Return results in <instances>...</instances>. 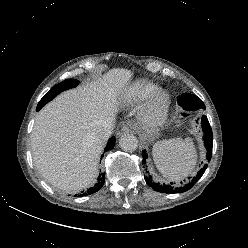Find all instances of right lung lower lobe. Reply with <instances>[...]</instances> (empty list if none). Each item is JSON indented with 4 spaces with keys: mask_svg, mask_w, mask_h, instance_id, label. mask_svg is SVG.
<instances>
[{
    "mask_svg": "<svg viewBox=\"0 0 248 248\" xmlns=\"http://www.w3.org/2000/svg\"><path fill=\"white\" fill-rule=\"evenodd\" d=\"M41 107L40 106H37V110H39ZM115 145V137H112L109 139L105 149H104V152L106 151H109L111 150ZM103 157V155H102ZM98 183L95 184L94 187L88 189L86 192H82L83 194H81L80 196H86V195H90V194H93L95 192H97L104 184V181H105V173H101L98 177Z\"/></svg>",
    "mask_w": 248,
    "mask_h": 248,
    "instance_id": "right-lung-lower-lobe-1",
    "label": "right lung lower lobe"
}]
</instances>
